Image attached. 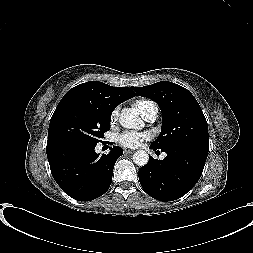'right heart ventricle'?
Instances as JSON below:
<instances>
[{"instance_id": "1", "label": "right heart ventricle", "mask_w": 253, "mask_h": 253, "mask_svg": "<svg viewBox=\"0 0 253 253\" xmlns=\"http://www.w3.org/2000/svg\"><path fill=\"white\" fill-rule=\"evenodd\" d=\"M147 102V100H140L136 103V107L141 112V108L144 106V104Z\"/></svg>"}]
</instances>
